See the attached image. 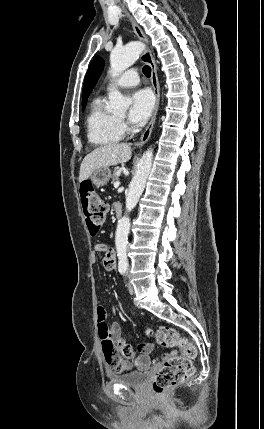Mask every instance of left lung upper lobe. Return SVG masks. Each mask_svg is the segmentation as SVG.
<instances>
[{
	"label": "left lung upper lobe",
	"mask_w": 264,
	"mask_h": 429,
	"mask_svg": "<svg viewBox=\"0 0 264 429\" xmlns=\"http://www.w3.org/2000/svg\"><path fill=\"white\" fill-rule=\"evenodd\" d=\"M104 63L103 60L98 56L96 57L92 63L89 66V69L87 71L85 81H84V87H83V102H82V109L84 110L85 105L87 103V99L89 97V94L91 93L93 87L97 83L99 76L101 74V71L103 70Z\"/></svg>",
	"instance_id": "5c2ea615"
}]
</instances>
